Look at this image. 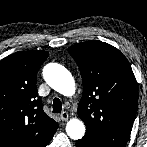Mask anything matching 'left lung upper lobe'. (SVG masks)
Here are the masks:
<instances>
[{"instance_id":"1","label":"left lung upper lobe","mask_w":147,"mask_h":147,"mask_svg":"<svg viewBox=\"0 0 147 147\" xmlns=\"http://www.w3.org/2000/svg\"><path fill=\"white\" fill-rule=\"evenodd\" d=\"M83 81L78 115L85 139L94 147H125L137 111L138 88L127 59L115 47L96 40L68 48Z\"/></svg>"}]
</instances>
